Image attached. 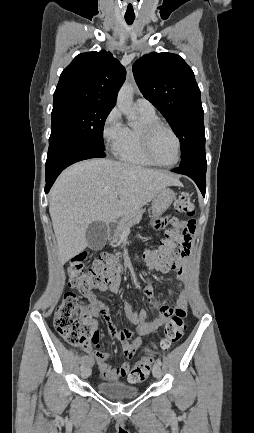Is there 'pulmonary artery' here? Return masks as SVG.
Wrapping results in <instances>:
<instances>
[{
    "label": "pulmonary artery",
    "instance_id": "e3ab8cb5",
    "mask_svg": "<svg viewBox=\"0 0 254 433\" xmlns=\"http://www.w3.org/2000/svg\"><path fill=\"white\" fill-rule=\"evenodd\" d=\"M136 106L140 112H146V113L155 112L153 104L145 98H138L136 100Z\"/></svg>",
    "mask_w": 254,
    "mask_h": 433
}]
</instances>
